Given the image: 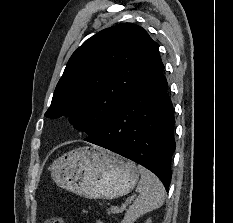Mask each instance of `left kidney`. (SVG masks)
<instances>
[{"label": "left kidney", "instance_id": "5707ae66", "mask_svg": "<svg viewBox=\"0 0 233 223\" xmlns=\"http://www.w3.org/2000/svg\"><path fill=\"white\" fill-rule=\"evenodd\" d=\"M145 223H151L150 217H149V219H147V221H145Z\"/></svg>", "mask_w": 233, "mask_h": 223}]
</instances>
